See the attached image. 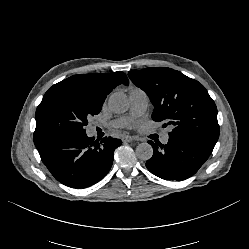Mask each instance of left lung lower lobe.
I'll use <instances>...</instances> for the list:
<instances>
[{"mask_svg":"<svg viewBox=\"0 0 249 249\" xmlns=\"http://www.w3.org/2000/svg\"><path fill=\"white\" fill-rule=\"evenodd\" d=\"M149 140L153 156L147 169L165 180L182 181L194 175L210 156L217 140L189 133H169L168 143Z\"/></svg>","mask_w":249,"mask_h":249,"instance_id":"0a47b994","label":"left lung lower lobe"}]
</instances>
